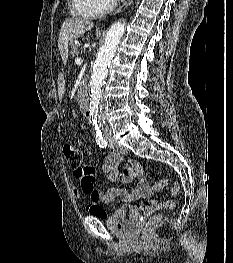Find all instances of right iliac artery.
Instances as JSON below:
<instances>
[{
  "mask_svg": "<svg viewBox=\"0 0 233 263\" xmlns=\"http://www.w3.org/2000/svg\"><path fill=\"white\" fill-rule=\"evenodd\" d=\"M96 143L101 148H106L108 146L107 141L103 138V136L100 132L96 134Z\"/></svg>",
  "mask_w": 233,
  "mask_h": 263,
  "instance_id": "obj_1",
  "label": "right iliac artery"
}]
</instances>
